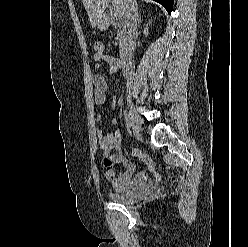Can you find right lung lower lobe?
Instances as JSON below:
<instances>
[{
    "label": "right lung lower lobe",
    "instance_id": "right-lung-lower-lobe-1",
    "mask_svg": "<svg viewBox=\"0 0 248 247\" xmlns=\"http://www.w3.org/2000/svg\"><path fill=\"white\" fill-rule=\"evenodd\" d=\"M162 4L167 11L170 13L172 11L173 0H154Z\"/></svg>",
    "mask_w": 248,
    "mask_h": 247
}]
</instances>
